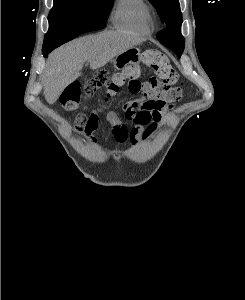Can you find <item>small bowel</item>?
<instances>
[{
    "label": "small bowel",
    "mask_w": 245,
    "mask_h": 300,
    "mask_svg": "<svg viewBox=\"0 0 245 300\" xmlns=\"http://www.w3.org/2000/svg\"><path fill=\"white\" fill-rule=\"evenodd\" d=\"M131 93L140 95V97L126 103L124 106L125 117L130 122V127L115 112L109 111L106 113L112 135L119 144L130 142L137 145L146 141L172 109L167 101L155 97L147 83L140 82L139 90ZM98 120V114L93 112L90 115H79L75 123L76 132L84 133L93 145L97 143L93 133L98 128Z\"/></svg>",
    "instance_id": "c3829d8e"
}]
</instances>
